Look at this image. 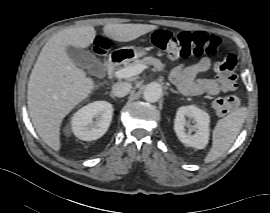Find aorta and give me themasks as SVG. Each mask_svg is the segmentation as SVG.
<instances>
[{
  "label": "aorta",
  "instance_id": "1",
  "mask_svg": "<svg viewBox=\"0 0 270 213\" xmlns=\"http://www.w3.org/2000/svg\"><path fill=\"white\" fill-rule=\"evenodd\" d=\"M162 96V87L157 82L149 83L143 92V97L148 102H157Z\"/></svg>",
  "mask_w": 270,
  "mask_h": 213
}]
</instances>
